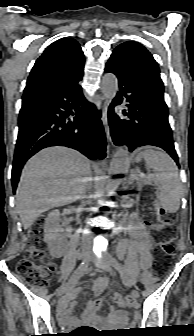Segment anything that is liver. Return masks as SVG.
<instances>
[{
	"label": "liver",
	"instance_id": "6515ba94",
	"mask_svg": "<svg viewBox=\"0 0 194 336\" xmlns=\"http://www.w3.org/2000/svg\"><path fill=\"white\" fill-rule=\"evenodd\" d=\"M90 162L67 147L41 150L25 164L16 192V207L24 229L45 211L81 199L86 192Z\"/></svg>",
	"mask_w": 194,
	"mask_h": 336
}]
</instances>
